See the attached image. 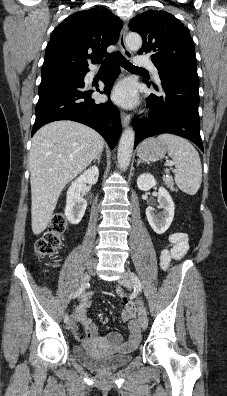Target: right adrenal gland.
<instances>
[{"label":"right adrenal gland","instance_id":"obj_1","mask_svg":"<svg viewBox=\"0 0 227 396\" xmlns=\"http://www.w3.org/2000/svg\"><path fill=\"white\" fill-rule=\"evenodd\" d=\"M100 159H101V153L98 154V155L95 157L94 161L97 160V162H98V164H99V163H100Z\"/></svg>","mask_w":227,"mask_h":396}]
</instances>
